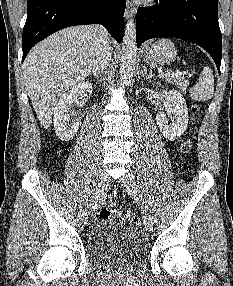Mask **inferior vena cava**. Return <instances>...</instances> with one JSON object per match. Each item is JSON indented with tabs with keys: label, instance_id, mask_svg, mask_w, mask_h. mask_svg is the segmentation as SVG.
Segmentation results:
<instances>
[{
	"label": "inferior vena cava",
	"instance_id": "inferior-vena-cava-1",
	"mask_svg": "<svg viewBox=\"0 0 233 286\" xmlns=\"http://www.w3.org/2000/svg\"><path fill=\"white\" fill-rule=\"evenodd\" d=\"M101 32V38L96 48L95 58L93 62V74L99 78L104 69L108 66L111 60V47L109 45V37L106 31L98 27Z\"/></svg>",
	"mask_w": 233,
	"mask_h": 286
}]
</instances>
